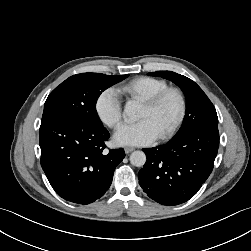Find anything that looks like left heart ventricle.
Returning <instances> with one entry per match:
<instances>
[{
  "instance_id": "obj_1",
  "label": "left heart ventricle",
  "mask_w": 251,
  "mask_h": 251,
  "mask_svg": "<svg viewBox=\"0 0 251 251\" xmlns=\"http://www.w3.org/2000/svg\"><path fill=\"white\" fill-rule=\"evenodd\" d=\"M178 112V100L174 95H168L153 109L142 105L138 114V120H149L159 136L174 121Z\"/></svg>"
}]
</instances>
